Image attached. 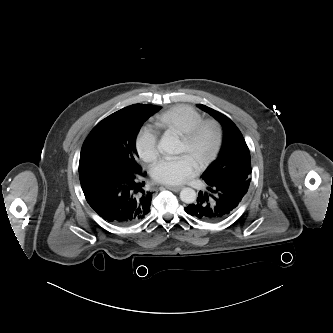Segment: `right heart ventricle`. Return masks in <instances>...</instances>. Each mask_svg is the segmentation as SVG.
<instances>
[{"mask_svg":"<svg viewBox=\"0 0 333 333\" xmlns=\"http://www.w3.org/2000/svg\"><path fill=\"white\" fill-rule=\"evenodd\" d=\"M202 120L203 115L195 108L187 105H179L158 115L154 126L158 130L173 131L182 135Z\"/></svg>","mask_w":333,"mask_h":333,"instance_id":"right-heart-ventricle-1","label":"right heart ventricle"}]
</instances>
